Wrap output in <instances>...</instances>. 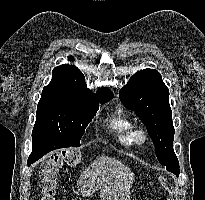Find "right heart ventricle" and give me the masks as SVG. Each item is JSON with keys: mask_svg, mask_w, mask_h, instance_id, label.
Returning a JSON list of instances; mask_svg holds the SVG:
<instances>
[{"mask_svg": "<svg viewBox=\"0 0 205 200\" xmlns=\"http://www.w3.org/2000/svg\"><path fill=\"white\" fill-rule=\"evenodd\" d=\"M108 127L115 133L117 140L125 146L133 145L132 133L135 128L133 121L118 109L108 120Z\"/></svg>", "mask_w": 205, "mask_h": 200, "instance_id": "obj_1", "label": "right heart ventricle"}]
</instances>
